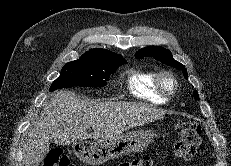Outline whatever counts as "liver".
Segmentation results:
<instances>
[{
	"mask_svg": "<svg viewBox=\"0 0 231 166\" xmlns=\"http://www.w3.org/2000/svg\"><path fill=\"white\" fill-rule=\"evenodd\" d=\"M164 115L163 109L146 103L93 101L69 91L56 92L24 135V166H38L51 141L67 145L89 138L116 139ZM90 127L93 133L88 134Z\"/></svg>",
	"mask_w": 231,
	"mask_h": 166,
	"instance_id": "1",
	"label": "liver"
}]
</instances>
